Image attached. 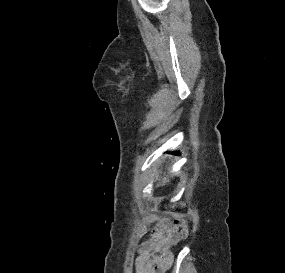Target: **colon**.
<instances>
[{
  "instance_id": "1",
  "label": "colon",
  "mask_w": 285,
  "mask_h": 273,
  "mask_svg": "<svg viewBox=\"0 0 285 273\" xmlns=\"http://www.w3.org/2000/svg\"><path fill=\"white\" fill-rule=\"evenodd\" d=\"M174 227L180 231L182 236H186L188 233V219L186 215L182 213H176L173 219Z\"/></svg>"
}]
</instances>
